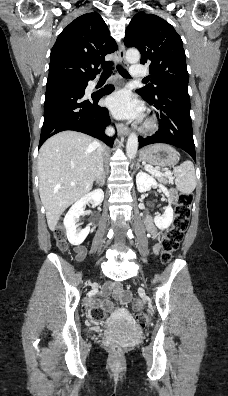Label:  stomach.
<instances>
[{
  "label": "stomach",
  "mask_w": 228,
  "mask_h": 396,
  "mask_svg": "<svg viewBox=\"0 0 228 396\" xmlns=\"http://www.w3.org/2000/svg\"><path fill=\"white\" fill-rule=\"evenodd\" d=\"M140 158L157 167H168L177 163L178 153L168 144L157 143L143 148Z\"/></svg>",
  "instance_id": "stomach-1"
}]
</instances>
